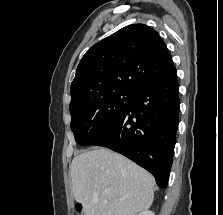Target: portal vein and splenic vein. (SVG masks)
Masks as SVG:
<instances>
[{"label":"portal vein and splenic vein","mask_w":223,"mask_h":215,"mask_svg":"<svg viewBox=\"0 0 223 215\" xmlns=\"http://www.w3.org/2000/svg\"><path fill=\"white\" fill-rule=\"evenodd\" d=\"M105 193H109V191H105ZM119 199H123V197H119Z\"/></svg>","instance_id":"1"}]
</instances>
